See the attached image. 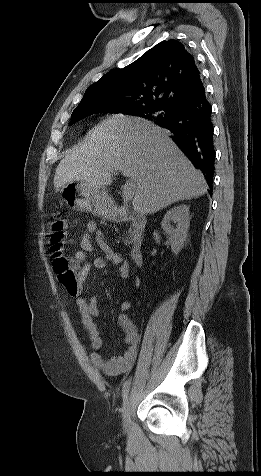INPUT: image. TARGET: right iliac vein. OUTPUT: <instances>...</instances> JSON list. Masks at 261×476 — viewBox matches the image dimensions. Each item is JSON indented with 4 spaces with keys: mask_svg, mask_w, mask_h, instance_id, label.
<instances>
[{
    "mask_svg": "<svg viewBox=\"0 0 261 476\" xmlns=\"http://www.w3.org/2000/svg\"><path fill=\"white\" fill-rule=\"evenodd\" d=\"M132 400L129 395L124 400L123 410H122V424L125 430L129 427L130 421V412H131Z\"/></svg>",
    "mask_w": 261,
    "mask_h": 476,
    "instance_id": "63e3f726",
    "label": "right iliac vein"
}]
</instances>
